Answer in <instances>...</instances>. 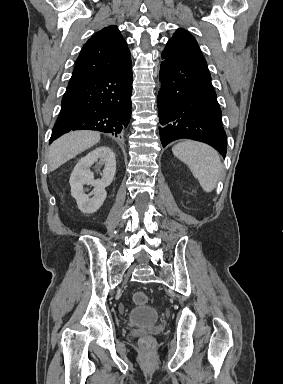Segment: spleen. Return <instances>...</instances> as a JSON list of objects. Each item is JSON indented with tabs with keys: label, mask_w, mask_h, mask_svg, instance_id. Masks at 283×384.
Masks as SVG:
<instances>
[{
	"label": "spleen",
	"mask_w": 283,
	"mask_h": 384,
	"mask_svg": "<svg viewBox=\"0 0 283 384\" xmlns=\"http://www.w3.org/2000/svg\"><path fill=\"white\" fill-rule=\"evenodd\" d=\"M172 152L178 160L190 168L204 192H212L221 176L222 166L218 152L200 142H180L173 146Z\"/></svg>",
	"instance_id": "spleen-1"
}]
</instances>
